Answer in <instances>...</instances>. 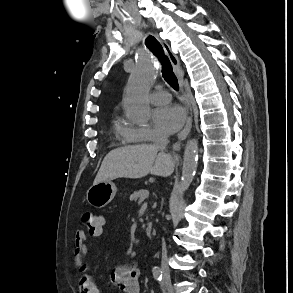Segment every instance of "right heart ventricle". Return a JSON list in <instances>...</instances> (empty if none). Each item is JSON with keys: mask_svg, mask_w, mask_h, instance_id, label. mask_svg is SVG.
<instances>
[{"mask_svg": "<svg viewBox=\"0 0 293 293\" xmlns=\"http://www.w3.org/2000/svg\"><path fill=\"white\" fill-rule=\"evenodd\" d=\"M117 132H118L119 134L123 135V137H124L127 141H130V142L135 141V140H129V139H127V137H126L127 127H126V126H123V125L118 124V126H117Z\"/></svg>", "mask_w": 293, "mask_h": 293, "instance_id": "obj_1", "label": "right heart ventricle"}]
</instances>
